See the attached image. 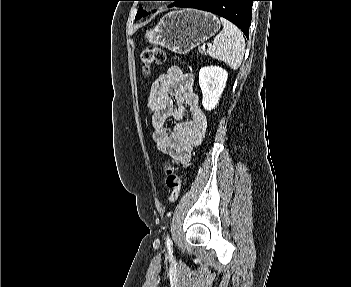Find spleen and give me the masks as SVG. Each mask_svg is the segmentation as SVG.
<instances>
[{"mask_svg": "<svg viewBox=\"0 0 351 287\" xmlns=\"http://www.w3.org/2000/svg\"><path fill=\"white\" fill-rule=\"evenodd\" d=\"M220 20L223 30L214 38L213 45L208 48L207 52L212 58L223 61L236 70L243 60L245 40L238 27L224 18Z\"/></svg>", "mask_w": 351, "mask_h": 287, "instance_id": "3e777b00", "label": "spleen"}]
</instances>
